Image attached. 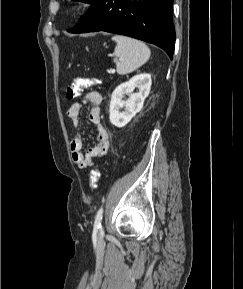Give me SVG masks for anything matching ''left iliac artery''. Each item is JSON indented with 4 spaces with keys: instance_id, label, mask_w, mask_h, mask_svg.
Wrapping results in <instances>:
<instances>
[{
    "instance_id": "1",
    "label": "left iliac artery",
    "mask_w": 243,
    "mask_h": 289,
    "mask_svg": "<svg viewBox=\"0 0 243 289\" xmlns=\"http://www.w3.org/2000/svg\"><path fill=\"white\" fill-rule=\"evenodd\" d=\"M102 217H103V208L101 207L98 210L96 217H95V222H94L95 229L101 228Z\"/></svg>"
}]
</instances>
